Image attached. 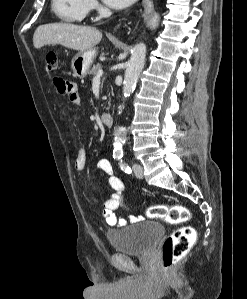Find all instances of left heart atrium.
<instances>
[{
    "instance_id": "left-heart-atrium-1",
    "label": "left heart atrium",
    "mask_w": 247,
    "mask_h": 299,
    "mask_svg": "<svg viewBox=\"0 0 247 299\" xmlns=\"http://www.w3.org/2000/svg\"><path fill=\"white\" fill-rule=\"evenodd\" d=\"M108 6L116 9L128 6L134 0H103Z\"/></svg>"
}]
</instances>
